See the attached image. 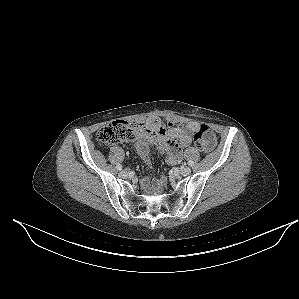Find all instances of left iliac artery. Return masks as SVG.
Wrapping results in <instances>:
<instances>
[{
    "label": "left iliac artery",
    "instance_id": "left-iliac-artery-1",
    "mask_svg": "<svg viewBox=\"0 0 299 299\" xmlns=\"http://www.w3.org/2000/svg\"><path fill=\"white\" fill-rule=\"evenodd\" d=\"M188 165H189V166H193V165H194V162L190 160V161H188Z\"/></svg>",
    "mask_w": 299,
    "mask_h": 299
}]
</instances>
